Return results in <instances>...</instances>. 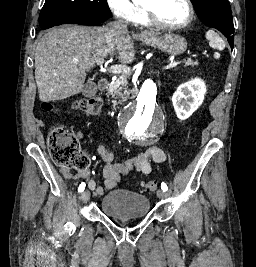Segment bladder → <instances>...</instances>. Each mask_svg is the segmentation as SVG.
I'll use <instances>...</instances> for the list:
<instances>
[{
	"instance_id": "bladder-1",
	"label": "bladder",
	"mask_w": 256,
	"mask_h": 267,
	"mask_svg": "<svg viewBox=\"0 0 256 267\" xmlns=\"http://www.w3.org/2000/svg\"><path fill=\"white\" fill-rule=\"evenodd\" d=\"M149 208V197L125 189L111 190L101 201V211L115 218H140Z\"/></svg>"
}]
</instances>
